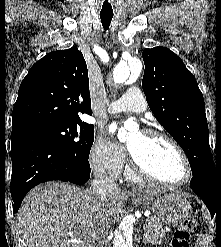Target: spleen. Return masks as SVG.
Wrapping results in <instances>:
<instances>
[{
  "label": "spleen",
  "mask_w": 221,
  "mask_h": 247,
  "mask_svg": "<svg viewBox=\"0 0 221 247\" xmlns=\"http://www.w3.org/2000/svg\"><path fill=\"white\" fill-rule=\"evenodd\" d=\"M205 247V245H204V243H202L201 241L197 244V246L196 247Z\"/></svg>",
  "instance_id": "3e777b00"
}]
</instances>
